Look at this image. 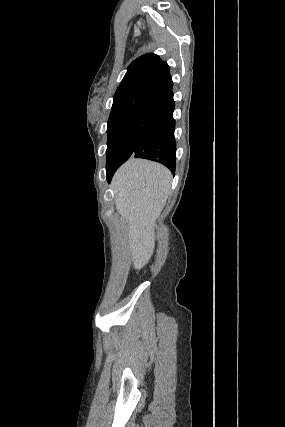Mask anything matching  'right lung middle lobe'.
Listing matches in <instances>:
<instances>
[{
  "label": "right lung middle lobe",
  "instance_id": "dd1d6c3e",
  "mask_svg": "<svg viewBox=\"0 0 285 427\" xmlns=\"http://www.w3.org/2000/svg\"><path fill=\"white\" fill-rule=\"evenodd\" d=\"M146 112L108 122L106 171L115 170L135 153L142 140L140 133Z\"/></svg>",
  "mask_w": 285,
  "mask_h": 427
}]
</instances>
